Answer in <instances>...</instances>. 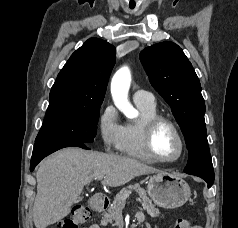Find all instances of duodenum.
I'll list each match as a JSON object with an SVG mask.
<instances>
[{"mask_svg":"<svg viewBox=\"0 0 238 228\" xmlns=\"http://www.w3.org/2000/svg\"><path fill=\"white\" fill-rule=\"evenodd\" d=\"M109 203V200L107 197L103 196V195H97L92 197L89 202H88V206L89 208L94 211V212H100L103 211L107 205ZM138 217L142 216L141 212H138Z\"/></svg>","mask_w":238,"mask_h":228,"instance_id":"1","label":"duodenum"}]
</instances>
